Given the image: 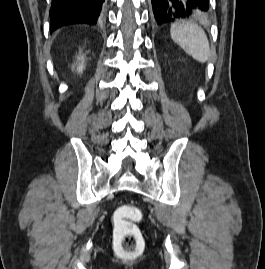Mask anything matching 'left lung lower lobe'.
I'll return each mask as SVG.
<instances>
[{
	"label": "left lung lower lobe",
	"mask_w": 265,
	"mask_h": 269,
	"mask_svg": "<svg viewBox=\"0 0 265 269\" xmlns=\"http://www.w3.org/2000/svg\"><path fill=\"white\" fill-rule=\"evenodd\" d=\"M155 20L162 25L179 19H202L208 16L209 0H151Z\"/></svg>",
	"instance_id": "left-lung-lower-lobe-1"
}]
</instances>
